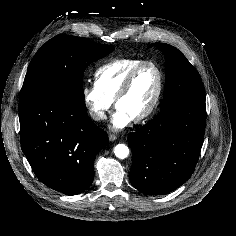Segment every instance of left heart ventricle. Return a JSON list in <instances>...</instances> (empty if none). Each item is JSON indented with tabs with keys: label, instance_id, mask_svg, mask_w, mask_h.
<instances>
[{
	"label": "left heart ventricle",
	"instance_id": "b2bd125f",
	"mask_svg": "<svg viewBox=\"0 0 236 236\" xmlns=\"http://www.w3.org/2000/svg\"><path fill=\"white\" fill-rule=\"evenodd\" d=\"M158 87V74L152 66H145L135 77L128 93L118 102L117 107L132 118L137 117L151 105Z\"/></svg>",
	"mask_w": 236,
	"mask_h": 236
}]
</instances>
